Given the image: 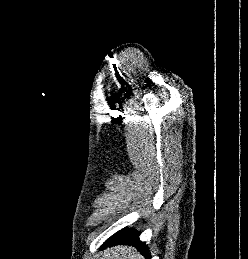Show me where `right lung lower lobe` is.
Returning a JSON list of instances; mask_svg holds the SVG:
<instances>
[{"mask_svg": "<svg viewBox=\"0 0 248 259\" xmlns=\"http://www.w3.org/2000/svg\"><path fill=\"white\" fill-rule=\"evenodd\" d=\"M138 235V232L131 229L119 231L113 236H111L109 239H107L104 242L103 247L115 244L132 245L134 247H137V249L140 251L142 255L150 259V253L148 252V248L145 245V243L139 240Z\"/></svg>", "mask_w": 248, "mask_h": 259, "instance_id": "right-lung-lower-lobe-1", "label": "right lung lower lobe"}]
</instances>
